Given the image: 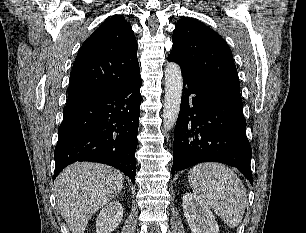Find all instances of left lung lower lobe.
<instances>
[{
  "label": "left lung lower lobe",
  "instance_id": "obj_1",
  "mask_svg": "<svg viewBox=\"0 0 306 233\" xmlns=\"http://www.w3.org/2000/svg\"><path fill=\"white\" fill-rule=\"evenodd\" d=\"M183 95L174 132L172 175L200 162L236 167L253 185L252 150L240 89L182 73Z\"/></svg>",
  "mask_w": 306,
  "mask_h": 233
}]
</instances>
